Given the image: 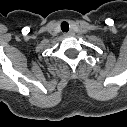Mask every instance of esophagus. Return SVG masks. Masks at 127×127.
Here are the masks:
<instances>
[{"label": "esophagus", "mask_w": 127, "mask_h": 127, "mask_svg": "<svg viewBox=\"0 0 127 127\" xmlns=\"http://www.w3.org/2000/svg\"><path fill=\"white\" fill-rule=\"evenodd\" d=\"M65 35H66V36H72V35H74V32L71 30V31L65 33Z\"/></svg>", "instance_id": "esophagus-1"}]
</instances>
